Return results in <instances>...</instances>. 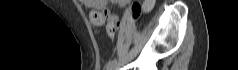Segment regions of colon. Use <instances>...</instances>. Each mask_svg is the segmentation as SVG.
<instances>
[{
  "label": "colon",
  "instance_id": "1",
  "mask_svg": "<svg viewBox=\"0 0 238 70\" xmlns=\"http://www.w3.org/2000/svg\"><path fill=\"white\" fill-rule=\"evenodd\" d=\"M154 1L153 0H146L144 2V5L141 6L140 3L134 2L133 4V17L138 18L141 14L142 9L150 10L153 7ZM118 24H119V19H108V24H107V35L110 38H114L117 29H118Z\"/></svg>",
  "mask_w": 238,
  "mask_h": 70
}]
</instances>
